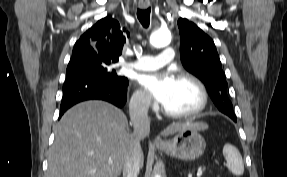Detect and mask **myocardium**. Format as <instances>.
I'll return each mask as SVG.
<instances>
[{
	"instance_id": "f54148a6",
	"label": "myocardium",
	"mask_w": 287,
	"mask_h": 177,
	"mask_svg": "<svg viewBox=\"0 0 287 177\" xmlns=\"http://www.w3.org/2000/svg\"><path fill=\"white\" fill-rule=\"evenodd\" d=\"M176 80L189 82L196 87L200 96L199 105L196 109L190 112H171L163 106L161 107V111L170 118H191L198 116L206 109L209 102V95L205 85L197 77L188 73H180Z\"/></svg>"
}]
</instances>
